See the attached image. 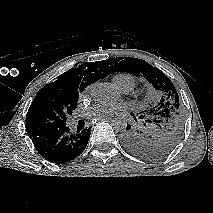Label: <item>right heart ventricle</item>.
<instances>
[{"label": "right heart ventricle", "mask_w": 213, "mask_h": 213, "mask_svg": "<svg viewBox=\"0 0 213 213\" xmlns=\"http://www.w3.org/2000/svg\"><path fill=\"white\" fill-rule=\"evenodd\" d=\"M113 83L122 91H131L136 85V79L129 73H119L114 76Z\"/></svg>", "instance_id": "right-heart-ventricle-1"}]
</instances>
